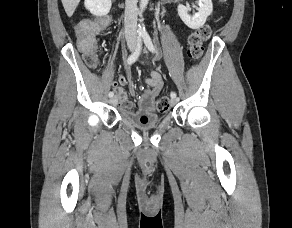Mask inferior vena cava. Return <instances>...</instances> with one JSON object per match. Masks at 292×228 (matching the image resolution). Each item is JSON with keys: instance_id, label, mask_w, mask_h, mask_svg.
I'll use <instances>...</instances> for the list:
<instances>
[{"instance_id": "inferior-vena-cava-1", "label": "inferior vena cava", "mask_w": 292, "mask_h": 228, "mask_svg": "<svg viewBox=\"0 0 292 228\" xmlns=\"http://www.w3.org/2000/svg\"><path fill=\"white\" fill-rule=\"evenodd\" d=\"M138 0L125 1V37L127 41H137V8Z\"/></svg>"}]
</instances>
